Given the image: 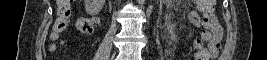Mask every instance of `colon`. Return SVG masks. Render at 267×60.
I'll return each mask as SVG.
<instances>
[{
    "label": "colon",
    "instance_id": "colon-1",
    "mask_svg": "<svg viewBox=\"0 0 267 60\" xmlns=\"http://www.w3.org/2000/svg\"><path fill=\"white\" fill-rule=\"evenodd\" d=\"M215 0H197V8L201 13L202 20L206 23L208 18L212 15ZM72 13L70 0H58L57 1V18L53 24V38L56 39L60 34L66 32L70 27V17ZM84 28L90 30L92 25L89 23L84 24ZM205 29V28H204ZM194 56L198 60L205 59V48L203 47V41H200Z\"/></svg>",
    "mask_w": 267,
    "mask_h": 60
}]
</instances>
